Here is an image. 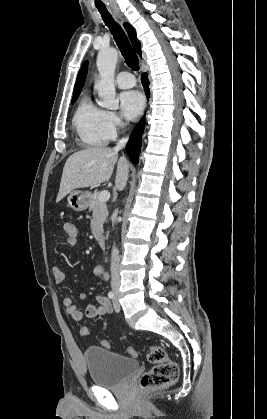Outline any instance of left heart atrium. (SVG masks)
Returning a JSON list of instances; mask_svg holds the SVG:
<instances>
[{
    "instance_id": "left-heart-atrium-1",
    "label": "left heart atrium",
    "mask_w": 267,
    "mask_h": 419,
    "mask_svg": "<svg viewBox=\"0 0 267 419\" xmlns=\"http://www.w3.org/2000/svg\"><path fill=\"white\" fill-rule=\"evenodd\" d=\"M119 103L122 115L126 119H134L142 112L145 101L139 91L129 90L119 95Z\"/></svg>"
}]
</instances>
